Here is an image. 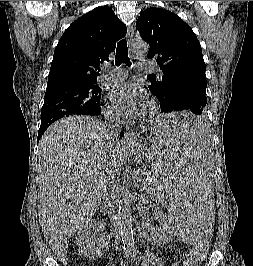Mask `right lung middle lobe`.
Listing matches in <instances>:
<instances>
[{
	"label": "right lung middle lobe",
	"mask_w": 253,
	"mask_h": 266,
	"mask_svg": "<svg viewBox=\"0 0 253 266\" xmlns=\"http://www.w3.org/2000/svg\"><path fill=\"white\" fill-rule=\"evenodd\" d=\"M95 83H72L46 89L40 127L68 115L97 113L101 109V89Z\"/></svg>",
	"instance_id": "obj_1"
}]
</instances>
